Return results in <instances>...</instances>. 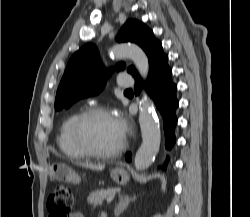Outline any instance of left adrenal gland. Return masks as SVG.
<instances>
[{"label":"left adrenal gland","instance_id":"1","mask_svg":"<svg viewBox=\"0 0 250 217\" xmlns=\"http://www.w3.org/2000/svg\"><path fill=\"white\" fill-rule=\"evenodd\" d=\"M135 199V196L133 198H129V196L119 195V203L115 208V216L118 217L128 207V204Z\"/></svg>","mask_w":250,"mask_h":217}]
</instances>
